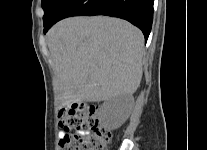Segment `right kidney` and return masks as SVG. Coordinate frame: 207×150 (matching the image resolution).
<instances>
[{
    "mask_svg": "<svg viewBox=\"0 0 207 150\" xmlns=\"http://www.w3.org/2000/svg\"><path fill=\"white\" fill-rule=\"evenodd\" d=\"M132 106L131 95H121L105 101L100 109L105 126L112 130L119 128L129 117Z\"/></svg>",
    "mask_w": 207,
    "mask_h": 150,
    "instance_id": "ca27d5eb",
    "label": "right kidney"
}]
</instances>
